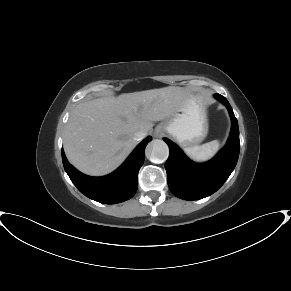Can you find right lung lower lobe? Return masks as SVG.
I'll return each instance as SVG.
<instances>
[{"instance_id": "right-lung-lower-lobe-1", "label": "right lung lower lobe", "mask_w": 291, "mask_h": 291, "mask_svg": "<svg viewBox=\"0 0 291 291\" xmlns=\"http://www.w3.org/2000/svg\"><path fill=\"white\" fill-rule=\"evenodd\" d=\"M152 140L146 137L113 173L103 177H90L76 170L67 161L62 150L66 173L78 190L88 198L103 204H116L132 198L138 188L137 175L144 163L145 147Z\"/></svg>"}]
</instances>
